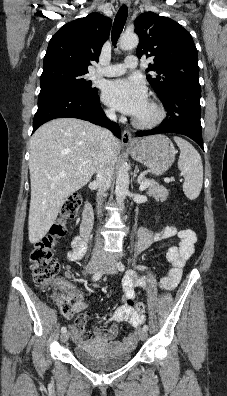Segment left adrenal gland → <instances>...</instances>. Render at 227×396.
<instances>
[{
    "instance_id": "obj_1",
    "label": "left adrenal gland",
    "mask_w": 227,
    "mask_h": 396,
    "mask_svg": "<svg viewBox=\"0 0 227 396\" xmlns=\"http://www.w3.org/2000/svg\"><path fill=\"white\" fill-rule=\"evenodd\" d=\"M137 171H138V167L136 166V168H135V172H134V177L136 176V174H137Z\"/></svg>"
}]
</instances>
